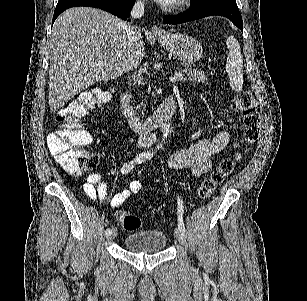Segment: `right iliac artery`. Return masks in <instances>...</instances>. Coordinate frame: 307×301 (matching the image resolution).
I'll return each mask as SVG.
<instances>
[{
    "label": "right iliac artery",
    "mask_w": 307,
    "mask_h": 301,
    "mask_svg": "<svg viewBox=\"0 0 307 301\" xmlns=\"http://www.w3.org/2000/svg\"><path fill=\"white\" fill-rule=\"evenodd\" d=\"M148 159V154H140L139 156H137L136 158H134V160L128 161L126 163H124V165L121 168V172L122 174H127L128 172H130L135 164H141L142 162H144L145 160ZM111 229L108 228L106 229V235L110 234Z\"/></svg>",
    "instance_id": "right-iliac-artery-1"
}]
</instances>
